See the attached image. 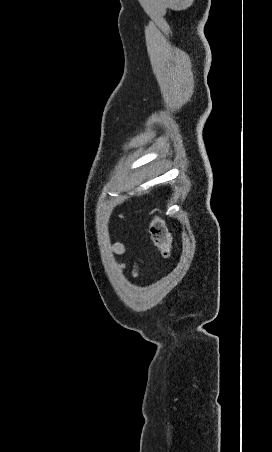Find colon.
Wrapping results in <instances>:
<instances>
[{
  "label": "colon",
  "instance_id": "colon-1",
  "mask_svg": "<svg viewBox=\"0 0 272 452\" xmlns=\"http://www.w3.org/2000/svg\"><path fill=\"white\" fill-rule=\"evenodd\" d=\"M149 231L151 240L163 259L171 255L172 237L167 229L166 223L159 215H154L150 221Z\"/></svg>",
  "mask_w": 272,
  "mask_h": 452
}]
</instances>
